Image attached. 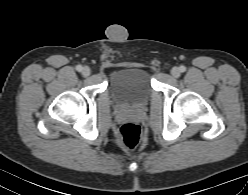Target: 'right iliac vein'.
I'll return each mask as SVG.
<instances>
[{"instance_id": "obj_1", "label": "right iliac vein", "mask_w": 248, "mask_h": 195, "mask_svg": "<svg viewBox=\"0 0 248 195\" xmlns=\"http://www.w3.org/2000/svg\"><path fill=\"white\" fill-rule=\"evenodd\" d=\"M90 74H91V70H90L89 67H84V68L82 69V75H83V76L87 77V76H89Z\"/></svg>"}]
</instances>
